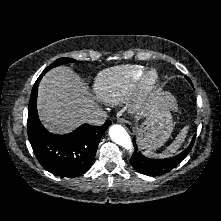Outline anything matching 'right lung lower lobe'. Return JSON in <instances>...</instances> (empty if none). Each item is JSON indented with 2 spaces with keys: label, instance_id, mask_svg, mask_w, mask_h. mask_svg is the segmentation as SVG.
<instances>
[{
  "label": "right lung lower lobe",
  "instance_id": "98d812e1",
  "mask_svg": "<svg viewBox=\"0 0 221 221\" xmlns=\"http://www.w3.org/2000/svg\"><path fill=\"white\" fill-rule=\"evenodd\" d=\"M39 77L33 86L28 106V138L43 168L60 177L74 178L85 173L94 160L101 137L111 124H83L66 135H53L41 124L36 107Z\"/></svg>",
  "mask_w": 221,
  "mask_h": 221
}]
</instances>
